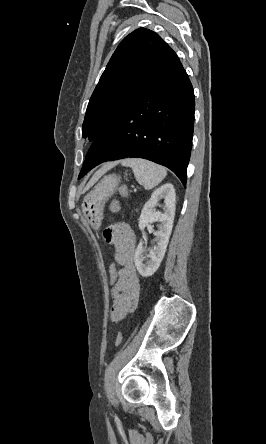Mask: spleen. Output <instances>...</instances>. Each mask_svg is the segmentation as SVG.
I'll use <instances>...</instances> for the list:
<instances>
[{"label": "spleen", "mask_w": 266, "mask_h": 444, "mask_svg": "<svg viewBox=\"0 0 266 444\" xmlns=\"http://www.w3.org/2000/svg\"><path fill=\"white\" fill-rule=\"evenodd\" d=\"M123 166L132 168L135 178L146 190L156 187L167 175L163 166L141 158H127Z\"/></svg>", "instance_id": "spleen-1"}]
</instances>
